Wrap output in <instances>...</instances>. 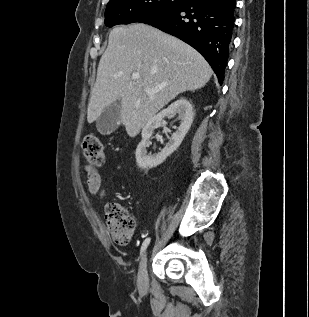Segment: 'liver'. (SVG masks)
I'll list each match as a JSON object with an SVG mask.
<instances>
[{
    "instance_id": "6515ba94",
    "label": "liver",
    "mask_w": 309,
    "mask_h": 317,
    "mask_svg": "<svg viewBox=\"0 0 309 317\" xmlns=\"http://www.w3.org/2000/svg\"><path fill=\"white\" fill-rule=\"evenodd\" d=\"M139 73V79H132ZM207 61L190 45L152 26L135 23L109 34L87 109L93 123L110 104L121 102L120 122L130 137L165 105L185 91L206 85ZM161 88L156 93L146 89Z\"/></svg>"
}]
</instances>
